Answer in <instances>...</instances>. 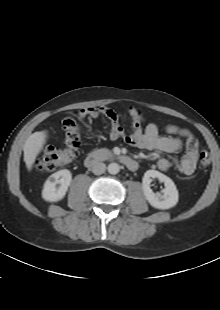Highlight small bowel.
I'll list each match as a JSON object with an SVG mask.
<instances>
[{
    "label": "small bowel",
    "mask_w": 220,
    "mask_h": 310,
    "mask_svg": "<svg viewBox=\"0 0 220 310\" xmlns=\"http://www.w3.org/2000/svg\"><path fill=\"white\" fill-rule=\"evenodd\" d=\"M134 120V125L129 133H126L119 123L118 115L107 107H87L77 111V117L83 121L87 118L106 117L110 122L109 137L112 140L122 138L132 147L147 150H157L166 153H175L183 148L185 153L177 168L180 173L190 176L194 173L198 160V142L192 134L184 128L176 125H168L166 131L168 136H161L159 128L155 123H149L145 129L141 127L142 112L136 108L129 110ZM158 167L166 171L171 167L167 158L158 160Z\"/></svg>",
    "instance_id": "obj_1"
}]
</instances>
